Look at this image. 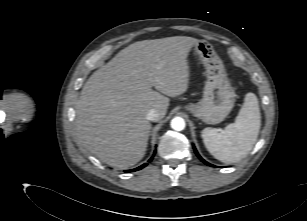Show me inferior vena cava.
Listing matches in <instances>:
<instances>
[{"mask_svg":"<svg viewBox=\"0 0 307 221\" xmlns=\"http://www.w3.org/2000/svg\"><path fill=\"white\" fill-rule=\"evenodd\" d=\"M146 118H147V120H149V121H154V122H156V121H159V120H160V115H159V113H158L157 110H155V109H150V110L148 111V113L146 114Z\"/></svg>","mask_w":307,"mask_h":221,"instance_id":"obj_1","label":"inferior vena cava"}]
</instances>
